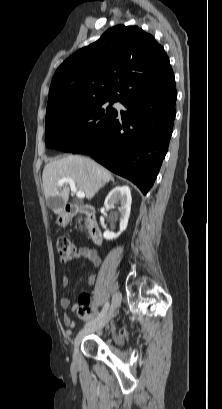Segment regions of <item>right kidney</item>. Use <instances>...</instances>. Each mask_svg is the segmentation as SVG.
<instances>
[{
    "label": "right kidney",
    "mask_w": 222,
    "mask_h": 409,
    "mask_svg": "<svg viewBox=\"0 0 222 409\" xmlns=\"http://www.w3.org/2000/svg\"><path fill=\"white\" fill-rule=\"evenodd\" d=\"M118 203L121 204V206L118 208L120 230L117 234H115L114 232H110L109 230H106L103 233V237L106 240H112L117 238L127 228L132 203L131 190L129 186L123 185L113 188L107 195L104 202V206L105 208H114L115 205Z\"/></svg>",
    "instance_id": "right-kidney-1"
}]
</instances>
